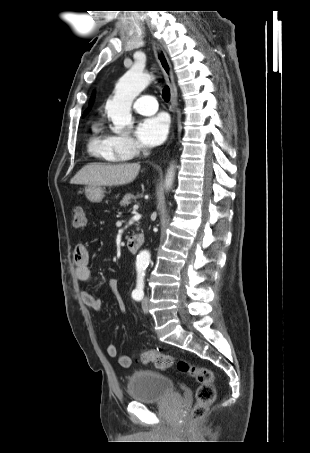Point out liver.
<instances>
[{
	"label": "liver",
	"mask_w": 310,
	"mask_h": 453,
	"mask_svg": "<svg viewBox=\"0 0 310 453\" xmlns=\"http://www.w3.org/2000/svg\"><path fill=\"white\" fill-rule=\"evenodd\" d=\"M139 170L138 163H90L82 167L70 183L88 186H121L133 182Z\"/></svg>",
	"instance_id": "liver-1"
}]
</instances>
